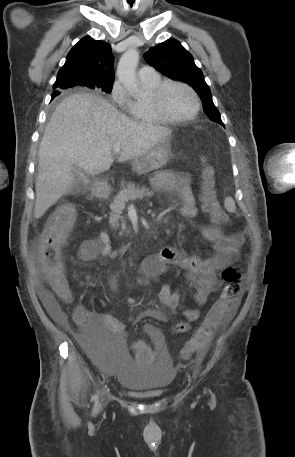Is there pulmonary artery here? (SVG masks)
<instances>
[{"label": "pulmonary artery", "mask_w": 295, "mask_h": 457, "mask_svg": "<svg viewBox=\"0 0 295 457\" xmlns=\"http://www.w3.org/2000/svg\"><path fill=\"white\" fill-rule=\"evenodd\" d=\"M138 75L141 80H150L158 76L155 69L148 65L141 67L138 71Z\"/></svg>", "instance_id": "1"}]
</instances>
